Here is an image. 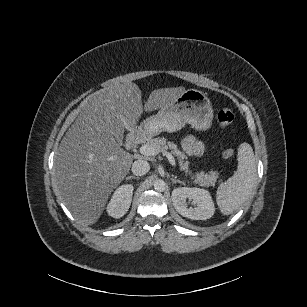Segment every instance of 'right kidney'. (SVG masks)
I'll use <instances>...</instances> for the list:
<instances>
[{
    "instance_id": "1",
    "label": "right kidney",
    "mask_w": 307,
    "mask_h": 307,
    "mask_svg": "<svg viewBox=\"0 0 307 307\" xmlns=\"http://www.w3.org/2000/svg\"><path fill=\"white\" fill-rule=\"evenodd\" d=\"M133 190L134 187L131 184L122 185L116 189L107 206L109 216L118 219L127 213L131 205Z\"/></svg>"
}]
</instances>
